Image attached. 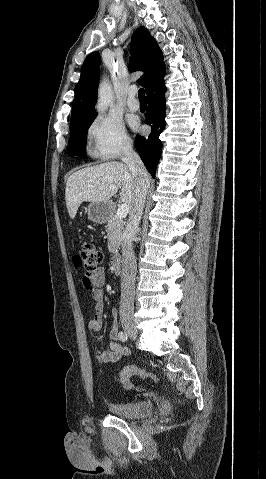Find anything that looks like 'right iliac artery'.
<instances>
[{"mask_svg":"<svg viewBox=\"0 0 266 479\" xmlns=\"http://www.w3.org/2000/svg\"><path fill=\"white\" fill-rule=\"evenodd\" d=\"M118 337L122 342H125L128 339L127 333L123 331L119 332Z\"/></svg>","mask_w":266,"mask_h":479,"instance_id":"obj_1","label":"right iliac artery"}]
</instances>
